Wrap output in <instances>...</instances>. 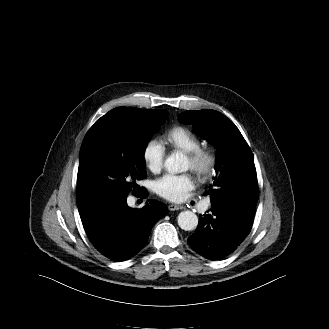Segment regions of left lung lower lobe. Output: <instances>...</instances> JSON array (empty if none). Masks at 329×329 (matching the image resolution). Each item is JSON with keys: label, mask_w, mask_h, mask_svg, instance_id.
<instances>
[{"label": "left lung lower lobe", "mask_w": 329, "mask_h": 329, "mask_svg": "<svg viewBox=\"0 0 329 329\" xmlns=\"http://www.w3.org/2000/svg\"><path fill=\"white\" fill-rule=\"evenodd\" d=\"M256 169L227 199L211 200L209 214L200 215L198 227L188 238L191 248L210 260L232 253L249 234L258 200Z\"/></svg>", "instance_id": "1"}]
</instances>
